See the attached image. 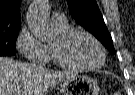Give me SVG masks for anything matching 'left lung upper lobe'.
I'll return each mask as SVG.
<instances>
[{"mask_svg":"<svg viewBox=\"0 0 135 95\" xmlns=\"http://www.w3.org/2000/svg\"><path fill=\"white\" fill-rule=\"evenodd\" d=\"M75 21L92 33L111 53L115 54L111 35L106 28L96 0H67Z\"/></svg>","mask_w":135,"mask_h":95,"instance_id":"1","label":"left lung upper lobe"}]
</instances>
